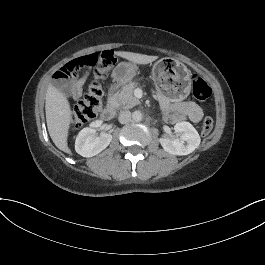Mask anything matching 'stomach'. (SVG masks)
I'll return each instance as SVG.
<instances>
[{
	"instance_id": "obj_1",
	"label": "stomach",
	"mask_w": 265,
	"mask_h": 265,
	"mask_svg": "<svg viewBox=\"0 0 265 265\" xmlns=\"http://www.w3.org/2000/svg\"><path fill=\"white\" fill-rule=\"evenodd\" d=\"M134 63L121 62L113 70V78L121 83L128 82L136 74ZM152 78L158 92L170 101H182L191 90V73L178 60L170 57L158 60L152 69Z\"/></svg>"
}]
</instances>
